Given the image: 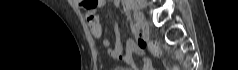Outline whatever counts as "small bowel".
Returning <instances> with one entry per match:
<instances>
[{"instance_id":"c3829d8e","label":"small bowel","mask_w":238,"mask_h":70,"mask_svg":"<svg viewBox=\"0 0 238 70\" xmlns=\"http://www.w3.org/2000/svg\"><path fill=\"white\" fill-rule=\"evenodd\" d=\"M107 1L106 0H90V1H81L78 0V5L81 6L84 10V16L87 21L88 27L90 29L91 34L95 38L102 37V25L98 15L95 12L97 7L103 6ZM117 3V1H113ZM115 46L110 48V41L107 38H103L102 43L105 47L108 48V54L116 60H123L124 58H128L131 63V70H150L151 69V61L148 58H144L142 60L141 68H138L132 60V55H142L144 49L147 46V42L145 38H139L137 43L132 40H128L126 43V52L123 50L121 45L120 35L117 26H115ZM117 70H129L126 68H118Z\"/></svg>"}]
</instances>
